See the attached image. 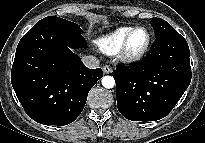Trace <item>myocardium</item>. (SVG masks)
Wrapping results in <instances>:
<instances>
[{
    "label": "myocardium",
    "mask_w": 205,
    "mask_h": 143,
    "mask_svg": "<svg viewBox=\"0 0 205 143\" xmlns=\"http://www.w3.org/2000/svg\"><path fill=\"white\" fill-rule=\"evenodd\" d=\"M138 30L146 31L147 41H146L144 47L140 51H138L136 53H132L129 50V42H130L132 35ZM151 41H152V36H151V33L147 27H145V26L133 27L126 35V37L121 45V48L118 51V58L122 62H125V63H136V62L140 61L148 52L150 45H151Z\"/></svg>",
    "instance_id": "obj_1"
}]
</instances>
